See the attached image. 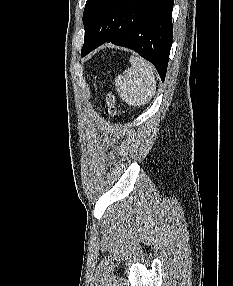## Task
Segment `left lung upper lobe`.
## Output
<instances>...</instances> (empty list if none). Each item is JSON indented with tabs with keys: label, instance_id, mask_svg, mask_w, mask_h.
Listing matches in <instances>:
<instances>
[{
	"label": "left lung upper lobe",
	"instance_id": "obj_1",
	"mask_svg": "<svg viewBox=\"0 0 233 286\" xmlns=\"http://www.w3.org/2000/svg\"><path fill=\"white\" fill-rule=\"evenodd\" d=\"M95 0H87L86 5H85V9H84V14H83V23L85 25L88 15L90 13L92 4L94 3Z\"/></svg>",
	"mask_w": 233,
	"mask_h": 286
}]
</instances>
